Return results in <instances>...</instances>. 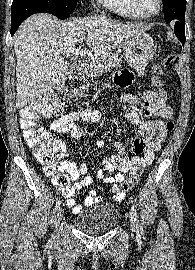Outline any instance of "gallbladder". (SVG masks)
I'll list each match as a JSON object with an SVG mask.
<instances>
[{"instance_id":"1","label":"gallbladder","mask_w":195,"mask_h":270,"mask_svg":"<svg viewBox=\"0 0 195 270\" xmlns=\"http://www.w3.org/2000/svg\"><path fill=\"white\" fill-rule=\"evenodd\" d=\"M75 73V69L71 68L69 71V75H73Z\"/></svg>"}]
</instances>
